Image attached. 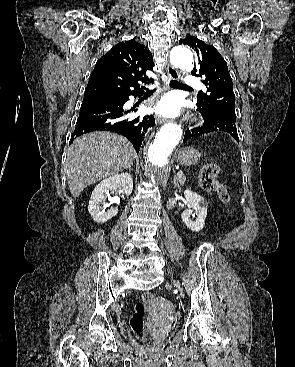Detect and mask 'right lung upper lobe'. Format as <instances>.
I'll list each match as a JSON object with an SVG mask.
<instances>
[{
  "instance_id": "obj_1",
  "label": "right lung upper lobe",
  "mask_w": 295,
  "mask_h": 367,
  "mask_svg": "<svg viewBox=\"0 0 295 367\" xmlns=\"http://www.w3.org/2000/svg\"><path fill=\"white\" fill-rule=\"evenodd\" d=\"M154 66L152 54L133 40L120 42L95 65L86 89H102L118 96L143 92L152 82L146 75Z\"/></svg>"
}]
</instances>
